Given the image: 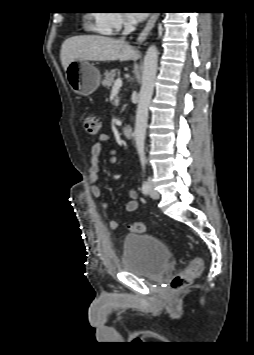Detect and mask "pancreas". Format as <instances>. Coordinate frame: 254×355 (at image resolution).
<instances>
[{
    "label": "pancreas",
    "mask_w": 254,
    "mask_h": 355,
    "mask_svg": "<svg viewBox=\"0 0 254 355\" xmlns=\"http://www.w3.org/2000/svg\"><path fill=\"white\" fill-rule=\"evenodd\" d=\"M116 75H117V70L116 69H112L110 71H106L104 73V80L102 81V85L104 87H106L107 89H109L110 86H112Z\"/></svg>",
    "instance_id": "1"
}]
</instances>
